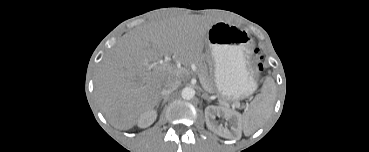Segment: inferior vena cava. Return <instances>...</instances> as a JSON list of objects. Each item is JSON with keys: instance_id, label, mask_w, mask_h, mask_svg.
Instances as JSON below:
<instances>
[{"instance_id": "1", "label": "inferior vena cava", "mask_w": 369, "mask_h": 152, "mask_svg": "<svg viewBox=\"0 0 369 152\" xmlns=\"http://www.w3.org/2000/svg\"><path fill=\"white\" fill-rule=\"evenodd\" d=\"M179 84H180V82L178 80H176V81L167 80L164 83V86L162 88L161 96L164 97V96L170 94L171 92H173L174 90L177 89Z\"/></svg>"}]
</instances>
